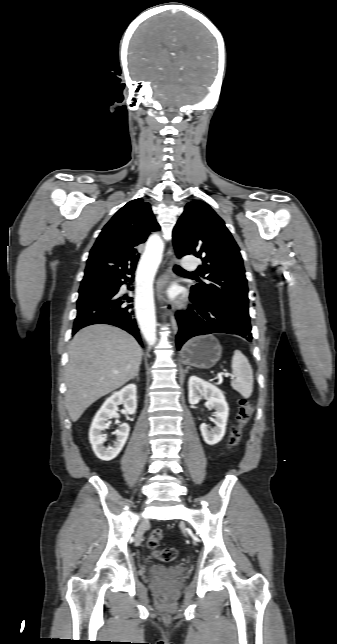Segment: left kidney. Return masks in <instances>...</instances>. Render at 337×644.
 Returning a JSON list of instances; mask_svg holds the SVG:
<instances>
[{"mask_svg":"<svg viewBox=\"0 0 337 644\" xmlns=\"http://www.w3.org/2000/svg\"><path fill=\"white\" fill-rule=\"evenodd\" d=\"M188 390L190 404H198L204 398L207 400L209 406L215 409V418L211 420L215 424V427L209 430V425L202 423L200 425V431L204 441L208 445L217 444L225 435L229 416V407L223 392L215 385L196 376L189 378Z\"/></svg>","mask_w":337,"mask_h":644,"instance_id":"left-kidney-1","label":"left kidney"}]
</instances>
